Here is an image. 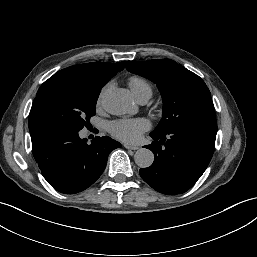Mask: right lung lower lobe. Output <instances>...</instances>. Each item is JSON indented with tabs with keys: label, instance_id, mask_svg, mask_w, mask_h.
Masks as SVG:
<instances>
[{
	"label": "right lung lower lobe",
	"instance_id": "98d812e1",
	"mask_svg": "<svg viewBox=\"0 0 257 257\" xmlns=\"http://www.w3.org/2000/svg\"><path fill=\"white\" fill-rule=\"evenodd\" d=\"M32 151L46 181L65 194L81 192L103 173L109 153L121 144L97 136L90 144L76 131L30 129Z\"/></svg>",
	"mask_w": 257,
	"mask_h": 257
}]
</instances>
